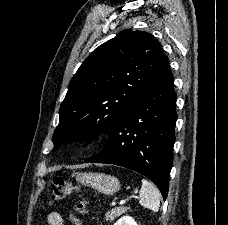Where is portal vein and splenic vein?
<instances>
[{"label":"portal vein and splenic vein","mask_w":228,"mask_h":225,"mask_svg":"<svg viewBox=\"0 0 228 225\" xmlns=\"http://www.w3.org/2000/svg\"><path fill=\"white\" fill-rule=\"evenodd\" d=\"M135 199H136L135 195H129V197H126V200H120L119 204L120 205H127L128 202H131V200H135ZM117 203H118L117 200H112L111 207H116Z\"/></svg>","instance_id":"obj_1"}]
</instances>
